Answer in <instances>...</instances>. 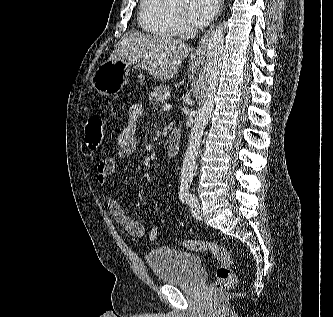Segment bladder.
Segmentation results:
<instances>
[{
    "label": "bladder",
    "mask_w": 333,
    "mask_h": 317,
    "mask_svg": "<svg viewBox=\"0 0 333 317\" xmlns=\"http://www.w3.org/2000/svg\"><path fill=\"white\" fill-rule=\"evenodd\" d=\"M146 261L155 279L166 285L191 284L203 266L198 255L169 247L152 249Z\"/></svg>",
    "instance_id": "1"
}]
</instances>
